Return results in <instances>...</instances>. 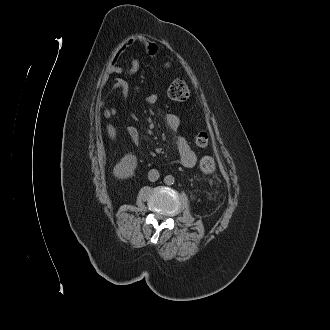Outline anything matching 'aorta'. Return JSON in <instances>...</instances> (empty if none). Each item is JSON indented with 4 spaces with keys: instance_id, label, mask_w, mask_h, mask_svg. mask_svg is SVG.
<instances>
[{
    "instance_id": "obj_1",
    "label": "aorta",
    "mask_w": 330,
    "mask_h": 330,
    "mask_svg": "<svg viewBox=\"0 0 330 330\" xmlns=\"http://www.w3.org/2000/svg\"><path fill=\"white\" fill-rule=\"evenodd\" d=\"M164 183L166 185H172L174 183V178L171 176V175H167L165 178H164Z\"/></svg>"
}]
</instances>
